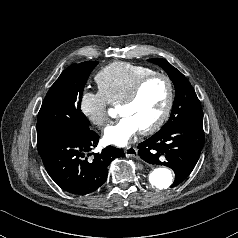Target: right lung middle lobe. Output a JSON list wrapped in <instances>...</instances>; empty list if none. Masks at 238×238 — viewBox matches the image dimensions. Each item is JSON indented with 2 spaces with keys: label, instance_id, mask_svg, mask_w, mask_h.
I'll use <instances>...</instances> for the list:
<instances>
[{
  "label": "right lung middle lobe",
  "instance_id": "right-lung-middle-lobe-1",
  "mask_svg": "<svg viewBox=\"0 0 238 238\" xmlns=\"http://www.w3.org/2000/svg\"><path fill=\"white\" fill-rule=\"evenodd\" d=\"M97 61L73 64L64 70L46 94L37 120V141L56 135L89 130V121L80 110L82 93Z\"/></svg>",
  "mask_w": 238,
  "mask_h": 238
}]
</instances>
